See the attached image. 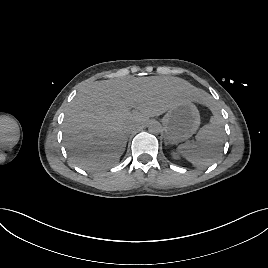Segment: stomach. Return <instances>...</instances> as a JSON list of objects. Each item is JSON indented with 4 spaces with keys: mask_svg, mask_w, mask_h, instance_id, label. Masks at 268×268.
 Masks as SVG:
<instances>
[{
    "mask_svg": "<svg viewBox=\"0 0 268 268\" xmlns=\"http://www.w3.org/2000/svg\"><path fill=\"white\" fill-rule=\"evenodd\" d=\"M166 137L174 142L189 139L200 126L197 107L186 101L170 109L162 119Z\"/></svg>",
    "mask_w": 268,
    "mask_h": 268,
    "instance_id": "1",
    "label": "stomach"
}]
</instances>
